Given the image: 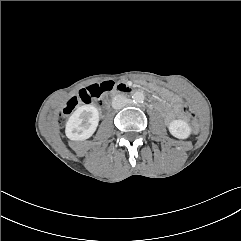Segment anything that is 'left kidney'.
Returning <instances> with one entry per match:
<instances>
[{"mask_svg": "<svg viewBox=\"0 0 241 241\" xmlns=\"http://www.w3.org/2000/svg\"><path fill=\"white\" fill-rule=\"evenodd\" d=\"M170 133L179 139H186L191 134L189 124L184 120H174L169 124Z\"/></svg>", "mask_w": 241, "mask_h": 241, "instance_id": "obj_1", "label": "left kidney"}]
</instances>
